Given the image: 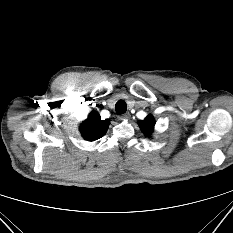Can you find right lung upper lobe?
<instances>
[{"label":"right lung upper lobe","instance_id":"right-lung-upper-lobe-1","mask_svg":"<svg viewBox=\"0 0 233 233\" xmlns=\"http://www.w3.org/2000/svg\"><path fill=\"white\" fill-rule=\"evenodd\" d=\"M110 121L108 119L101 120L100 115L93 111L88 118L82 123L80 131L84 139L95 141L107 132Z\"/></svg>","mask_w":233,"mask_h":233}]
</instances>
